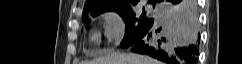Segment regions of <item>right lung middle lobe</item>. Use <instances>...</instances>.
<instances>
[{
    "mask_svg": "<svg viewBox=\"0 0 242 64\" xmlns=\"http://www.w3.org/2000/svg\"><path fill=\"white\" fill-rule=\"evenodd\" d=\"M115 12L119 13L126 23L125 36L120 44L122 48H125L127 45H129L137 36L144 32L154 22L153 18H147L145 16L146 13L144 9L143 13L140 15H136L132 8L115 10ZM100 13L103 12L83 15L82 21L85 22V26L90 23V16H97Z\"/></svg>",
    "mask_w": 242,
    "mask_h": 64,
    "instance_id": "dd1d6c3e",
    "label": "right lung middle lobe"
}]
</instances>
